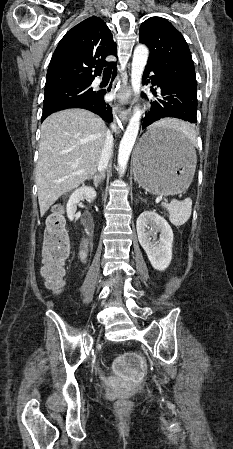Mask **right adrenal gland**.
Returning <instances> with one entry per match:
<instances>
[{
	"instance_id": "1",
	"label": "right adrenal gland",
	"mask_w": 233,
	"mask_h": 449,
	"mask_svg": "<svg viewBox=\"0 0 233 449\" xmlns=\"http://www.w3.org/2000/svg\"><path fill=\"white\" fill-rule=\"evenodd\" d=\"M104 178H105V173L104 172H100L99 174L89 178V180L93 179L94 185H95V187H97L98 184L101 183L104 180Z\"/></svg>"
}]
</instances>
